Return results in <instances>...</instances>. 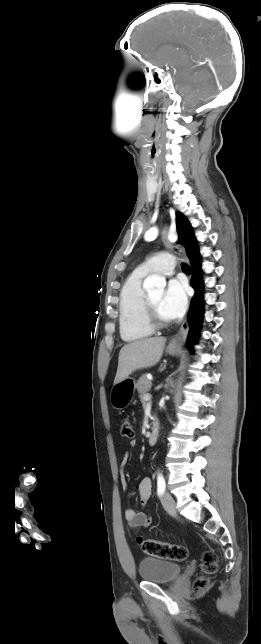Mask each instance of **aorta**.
Listing matches in <instances>:
<instances>
[{"mask_svg":"<svg viewBox=\"0 0 261 644\" xmlns=\"http://www.w3.org/2000/svg\"><path fill=\"white\" fill-rule=\"evenodd\" d=\"M165 286H166L165 278L158 275L148 276L143 282V288L148 292L155 289L162 290L164 289Z\"/></svg>","mask_w":261,"mask_h":644,"instance_id":"aorta-1","label":"aorta"}]
</instances>
